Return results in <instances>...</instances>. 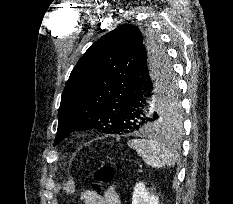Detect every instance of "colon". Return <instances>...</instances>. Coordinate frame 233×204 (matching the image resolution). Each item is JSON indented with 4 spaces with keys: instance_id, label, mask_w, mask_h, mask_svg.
Returning <instances> with one entry per match:
<instances>
[{
    "instance_id": "1",
    "label": "colon",
    "mask_w": 233,
    "mask_h": 204,
    "mask_svg": "<svg viewBox=\"0 0 233 204\" xmlns=\"http://www.w3.org/2000/svg\"><path fill=\"white\" fill-rule=\"evenodd\" d=\"M114 175L115 169L112 165L103 164L99 166L94 172V181L90 191L94 194H100L102 185L110 182L114 178Z\"/></svg>"
}]
</instances>
